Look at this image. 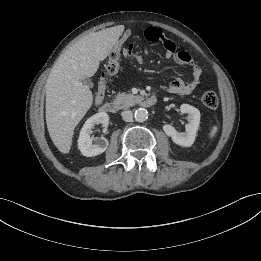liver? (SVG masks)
Listing matches in <instances>:
<instances>
[{
	"label": "liver",
	"instance_id": "obj_1",
	"mask_svg": "<svg viewBox=\"0 0 261 261\" xmlns=\"http://www.w3.org/2000/svg\"><path fill=\"white\" fill-rule=\"evenodd\" d=\"M124 31L123 25L86 36L55 62L46 81V123L56 148L67 154L74 129L93 103L89 86L81 81L97 72Z\"/></svg>",
	"mask_w": 261,
	"mask_h": 261
}]
</instances>
